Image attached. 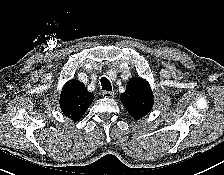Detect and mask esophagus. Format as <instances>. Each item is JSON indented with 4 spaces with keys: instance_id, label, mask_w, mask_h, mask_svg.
Returning <instances> with one entry per match:
<instances>
[{
    "instance_id": "obj_1",
    "label": "esophagus",
    "mask_w": 224,
    "mask_h": 175,
    "mask_svg": "<svg viewBox=\"0 0 224 175\" xmlns=\"http://www.w3.org/2000/svg\"><path fill=\"white\" fill-rule=\"evenodd\" d=\"M102 96L104 98H113L114 97V92H111V91H103L102 92Z\"/></svg>"
}]
</instances>
